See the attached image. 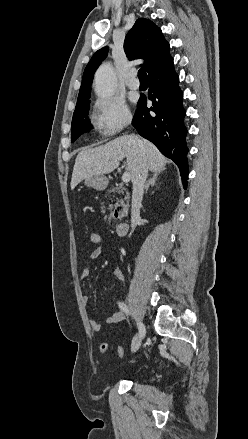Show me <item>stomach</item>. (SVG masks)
Masks as SVG:
<instances>
[{"label":"stomach","mask_w":248,"mask_h":439,"mask_svg":"<svg viewBox=\"0 0 248 439\" xmlns=\"http://www.w3.org/2000/svg\"><path fill=\"white\" fill-rule=\"evenodd\" d=\"M108 183L109 180L104 175H92L85 179V185L96 190H104Z\"/></svg>","instance_id":"1"}]
</instances>
